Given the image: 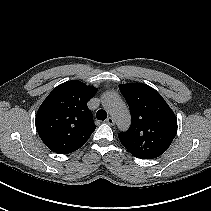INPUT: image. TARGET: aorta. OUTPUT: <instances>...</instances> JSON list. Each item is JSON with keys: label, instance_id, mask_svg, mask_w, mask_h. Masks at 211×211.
Instances as JSON below:
<instances>
[{"label": "aorta", "instance_id": "1", "mask_svg": "<svg viewBox=\"0 0 211 211\" xmlns=\"http://www.w3.org/2000/svg\"><path fill=\"white\" fill-rule=\"evenodd\" d=\"M103 107L112 115L120 130H127L131 117L126 104L114 93L107 92L102 97Z\"/></svg>", "mask_w": 211, "mask_h": 211}]
</instances>
